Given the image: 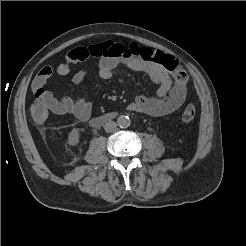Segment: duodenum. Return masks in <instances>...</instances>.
<instances>
[{
    "label": "duodenum",
    "instance_id": "duodenum-1",
    "mask_svg": "<svg viewBox=\"0 0 246 246\" xmlns=\"http://www.w3.org/2000/svg\"><path fill=\"white\" fill-rule=\"evenodd\" d=\"M116 116L115 113H106L104 115L95 117L91 120V124L94 127H100L101 125H103L104 123L112 120L114 117Z\"/></svg>",
    "mask_w": 246,
    "mask_h": 246
}]
</instances>
